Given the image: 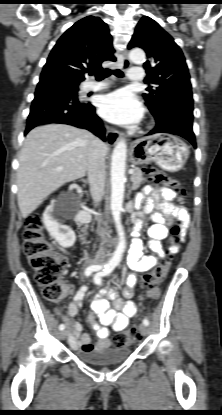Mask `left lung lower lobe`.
<instances>
[{"instance_id":"left-lung-lower-lobe-1","label":"left lung lower lobe","mask_w":222,"mask_h":415,"mask_svg":"<svg viewBox=\"0 0 222 415\" xmlns=\"http://www.w3.org/2000/svg\"><path fill=\"white\" fill-rule=\"evenodd\" d=\"M178 91L166 95L163 99V105L171 103L174 99H178L181 103V110L178 115L168 116L163 114L161 117L154 118L156 120V127L149 132L155 133H170L181 136L187 139L196 147L195 135L192 129L193 124V98L191 88L180 87Z\"/></svg>"}]
</instances>
